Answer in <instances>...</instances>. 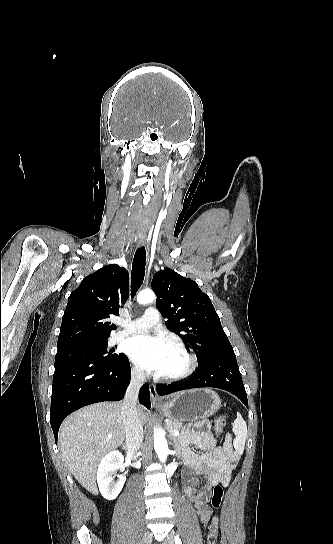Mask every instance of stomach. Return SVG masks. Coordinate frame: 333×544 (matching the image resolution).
Returning a JSON list of instances; mask_svg holds the SVG:
<instances>
[{
  "label": "stomach",
  "instance_id": "stomach-1",
  "mask_svg": "<svg viewBox=\"0 0 333 544\" xmlns=\"http://www.w3.org/2000/svg\"><path fill=\"white\" fill-rule=\"evenodd\" d=\"M220 404V397L213 390L194 389L178 393L161 410L169 419L193 422L196 418L213 415Z\"/></svg>",
  "mask_w": 333,
  "mask_h": 544
}]
</instances>
